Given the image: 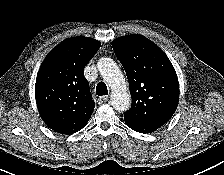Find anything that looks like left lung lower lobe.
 Wrapping results in <instances>:
<instances>
[{
    "label": "left lung lower lobe",
    "instance_id": "1",
    "mask_svg": "<svg viewBox=\"0 0 224 175\" xmlns=\"http://www.w3.org/2000/svg\"><path fill=\"white\" fill-rule=\"evenodd\" d=\"M126 125L128 127H130L131 129L140 132V133H151L154 132L155 130H157L159 127L158 125H150V126H145V125H136V124H132V123H128L126 122Z\"/></svg>",
    "mask_w": 224,
    "mask_h": 175
}]
</instances>
